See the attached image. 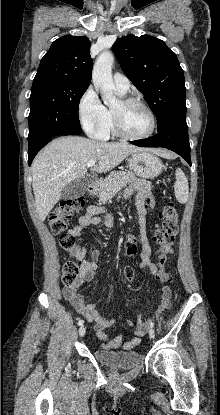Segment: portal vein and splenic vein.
I'll return each mask as SVG.
<instances>
[{"mask_svg": "<svg viewBox=\"0 0 220 415\" xmlns=\"http://www.w3.org/2000/svg\"><path fill=\"white\" fill-rule=\"evenodd\" d=\"M96 163V160H91L88 164L87 167H93Z\"/></svg>", "mask_w": 220, "mask_h": 415, "instance_id": "portal-vein-and-splenic-vein-1", "label": "portal vein and splenic vein"}]
</instances>
